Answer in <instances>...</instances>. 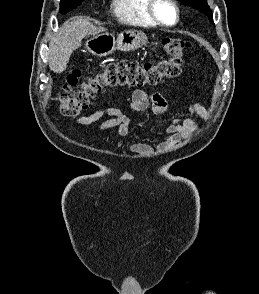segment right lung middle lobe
Here are the masks:
<instances>
[{
    "label": "right lung middle lobe",
    "instance_id": "1",
    "mask_svg": "<svg viewBox=\"0 0 259 294\" xmlns=\"http://www.w3.org/2000/svg\"><path fill=\"white\" fill-rule=\"evenodd\" d=\"M83 0H61L60 13L66 14L68 11L73 10L82 3Z\"/></svg>",
    "mask_w": 259,
    "mask_h": 294
}]
</instances>
